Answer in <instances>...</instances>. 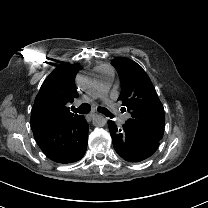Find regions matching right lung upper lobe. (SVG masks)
Segmentation results:
<instances>
[{"label":"right lung upper lobe","mask_w":208,"mask_h":208,"mask_svg":"<svg viewBox=\"0 0 208 208\" xmlns=\"http://www.w3.org/2000/svg\"><path fill=\"white\" fill-rule=\"evenodd\" d=\"M80 65L57 66L43 82L32 108L31 125L43 122L69 121L79 115L71 113L68 103L78 98L75 77Z\"/></svg>","instance_id":"right-lung-upper-lobe-1"}]
</instances>
